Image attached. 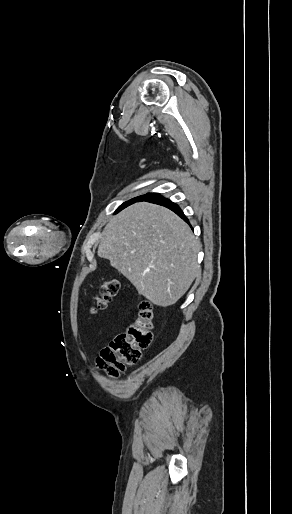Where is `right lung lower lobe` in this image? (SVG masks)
<instances>
[{
    "label": "right lung lower lobe",
    "mask_w": 292,
    "mask_h": 514,
    "mask_svg": "<svg viewBox=\"0 0 292 514\" xmlns=\"http://www.w3.org/2000/svg\"><path fill=\"white\" fill-rule=\"evenodd\" d=\"M140 201H146V202L155 203V204L167 207L170 210H172L173 212H175L177 215H179L184 221L188 222V220L186 219V217H185L184 213L182 212V210L180 209V207L177 204L170 201L169 199L163 197L159 193H148ZM140 201H138V202H140Z\"/></svg>",
    "instance_id": "right-lung-lower-lobe-1"
}]
</instances>
